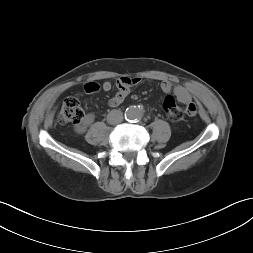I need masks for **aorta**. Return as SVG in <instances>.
Instances as JSON below:
<instances>
[{
    "instance_id": "obj_1",
    "label": "aorta",
    "mask_w": 253,
    "mask_h": 253,
    "mask_svg": "<svg viewBox=\"0 0 253 253\" xmlns=\"http://www.w3.org/2000/svg\"><path fill=\"white\" fill-rule=\"evenodd\" d=\"M144 111L137 106H130L129 108L126 109L125 112V117L128 120L135 121L139 120L143 117Z\"/></svg>"
}]
</instances>
